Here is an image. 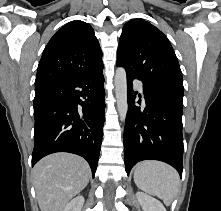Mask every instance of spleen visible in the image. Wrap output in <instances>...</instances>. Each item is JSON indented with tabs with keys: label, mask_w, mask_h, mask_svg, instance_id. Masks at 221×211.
<instances>
[{
	"label": "spleen",
	"mask_w": 221,
	"mask_h": 211,
	"mask_svg": "<svg viewBox=\"0 0 221 211\" xmlns=\"http://www.w3.org/2000/svg\"><path fill=\"white\" fill-rule=\"evenodd\" d=\"M134 182L144 192L157 196L169 206L180 190L179 175L174 168L157 161H144L134 170Z\"/></svg>",
	"instance_id": "obj_1"
}]
</instances>
